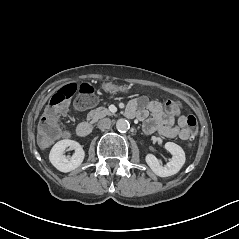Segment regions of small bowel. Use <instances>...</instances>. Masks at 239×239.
I'll return each mask as SVG.
<instances>
[{
  "label": "small bowel",
  "instance_id": "c3829d8e",
  "mask_svg": "<svg viewBox=\"0 0 239 239\" xmlns=\"http://www.w3.org/2000/svg\"><path fill=\"white\" fill-rule=\"evenodd\" d=\"M127 115L143 121L146 133L155 132L168 138L182 140L190 136L185 115L176 118L174 115L166 114L159 102L151 101L147 97L141 96L133 99L127 107Z\"/></svg>",
  "mask_w": 239,
  "mask_h": 239
}]
</instances>
